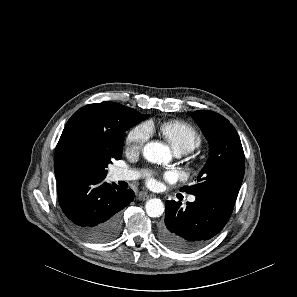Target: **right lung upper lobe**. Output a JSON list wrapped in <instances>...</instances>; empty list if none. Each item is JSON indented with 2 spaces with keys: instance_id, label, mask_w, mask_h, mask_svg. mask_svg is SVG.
Returning <instances> with one entry per match:
<instances>
[{
  "instance_id": "right-lung-upper-lobe-1",
  "label": "right lung upper lobe",
  "mask_w": 297,
  "mask_h": 297,
  "mask_svg": "<svg viewBox=\"0 0 297 297\" xmlns=\"http://www.w3.org/2000/svg\"><path fill=\"white\" fill-rule=\"evenodd\" d=\"M125 107L114 102H102L86 105L71 116L55 150L57 182L83 173L86 152L119 148L124 141Z\"/></svg>"
}]
</instances>
